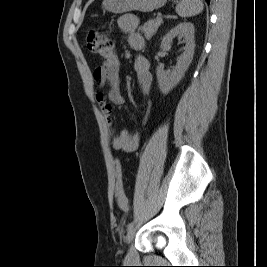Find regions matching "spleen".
Wrapping results in <instances>:
<instances>
[{
  "label": "spleen",
  "mask_w": 267,
  "mask_h": 267,
  "mask_svg": "<svg viewBox=\"0 0 267 267\" xmlns=\"http://www.w3.org/2000/svg\"><path fill=\"white\" fill-rule=\"evenodd\" d=\"M202 0H181L176 6V13L180 17H191L202 12Z\"/></svg>",
  "instance_id": "spleen-1"
}]
</instances>
